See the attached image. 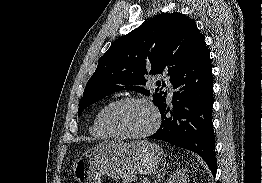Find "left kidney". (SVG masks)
<instances>
[{
  "label": "left kidney",
  "instance_id": "5707ae66",
  "mask_svg": "<svg viewBox=\"0 0 262 183\" xmlns=\"http://www.w3.org/2000/svg\"><path fill=\"white\" fill-rule=\"evenodd\" d=\"M189 175L187 169H177L175 170L166 183H188Z\"/></svg>",
  "mask_w": 262,
  "mask_h": 183
}]
</instances>
